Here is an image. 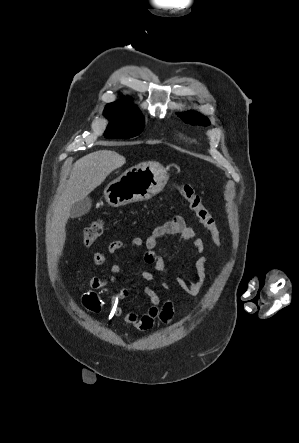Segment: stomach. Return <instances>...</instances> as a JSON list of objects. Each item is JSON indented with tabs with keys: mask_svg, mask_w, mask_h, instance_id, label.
Masks as SVG:
<instances>
[{
	"mask_svg": "<svg viewBox=\"0 0 299 443\" xmlns=\"http://www.w3.org/2000/svg\"><path fill=\"white\" fill-rule=\"evenodd\" d=\"M167 171L159 163H143L125 171L104 190L108 204L114 207L149 200L163 190Z\"/></svg>",
	"mask_w": 299,
	"mask_h": 443,
	"instance_id": "0dacf381",
	"label": "stomach"
}]
</instances>
